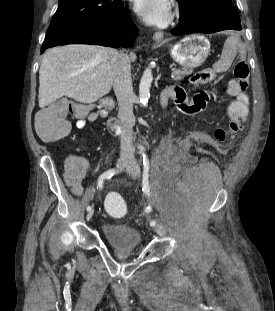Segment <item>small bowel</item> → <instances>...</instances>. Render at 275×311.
Here are the masks:
<instances>
[{"mask_svg": "<svg viewBox=\"0 0 275 311\" xmlns=\"http://www.w3.org/2000/svg\"><path fill=\"white\" fill-rule=\"evenodd\" d=\"M226 44L227 46H224L220 60H212V69H199V73H194L193 78L199 82L200 86H204L205 83L216 78L218 72H225L227 67H233L234 57H246V50L241 41L230 37L227 39ZM191 92V97H189L182 87L172 86L163 91L161 101L164 98L167 101L169 99L173 100L184 114H196L207 108L208 103L211 101L209 91H200L199 86H192ZM228 95L232 98V102L228 106L230 126H225L224 122H217L216 132H212L213 143H228L231 133H241L242 122L248 115L249 98L240 89L237 80L229 82ZM106 115L107 112L104 110L82 114L76 121V127L83 129L88 122H95L99 118L106 117ZM66 155L71 158L62 162L63 167H68V169H63V179L67 180L72 193L79 196L82 194L83 188L78 180H85L88 164L79 155H75L74 150H67Z\"/></svg>", "mask_w": 275, "mask_h": 311, "instance_id": "small-bowel-1", "label": "small bowel"}]
</instances>
